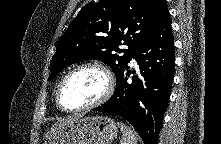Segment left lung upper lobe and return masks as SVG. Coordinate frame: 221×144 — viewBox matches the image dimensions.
<instances>
[{
  "mask_svg": "<svg viewBox=\"0 0 221 144\" xmlns=\"http://www.w3.org/2000/svg\"><path fill=\"white\" fill-rule=\"evenodd\" d=\"M167 12L164 0H100L86 4L60 38L48 80L68 65L88 59L103 61L118 77ZM122 44L129 48H118Z\"/></svg>",
  "mask_w": 221,
  "mask_h": 144,
  "instance_id": "5c2ea615",
  "label": "left lung upper lobe"
}]
</instances>
